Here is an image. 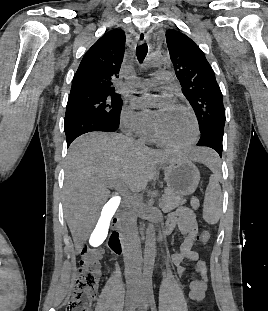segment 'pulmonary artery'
Segmentation results:
<instances>
[{
    "label": "pulmonary artery",
    "mask_w": 268,
    "mask_h": 311,
    "mask_svg": "<svg viewBox=\"0 0 268 311\" xmlns=\"http://www.w3.org/2000/svg\"><path fill=\"white\" fill-rule=\"evenodd\" d=\"M173 74L167 70H161L156 72L153 77L146 79H138L136 86L142 89H148L159 83H167L172 81Z\"/></svg>",
    "instance_id": "obj_1"
}]
</instances>
